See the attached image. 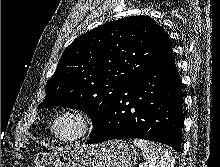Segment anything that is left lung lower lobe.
Here are the masks:
<instances>
[{"label": "left lung lower lobe", "instance_id": "left-lung-lower-lobe-1", "mask_svg": "<svg viewBox=\"0 0 220 167\" xmlns=\"http://www.w3.org/2000/svg\"><path fill=\"white\" fill-rule=\"evenodd\" d=\"M173 53L129 81L115 96L102 128L87 144L141 138L180 151L182 87Z\"/></svg>", "mask_w": 220, "mask_h": 167}]
</instances>
